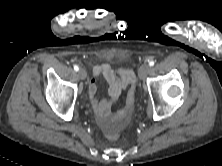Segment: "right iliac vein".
I'll return each instance as SVG.
<instances>
[{"instance_id": "1", "label": "right iliac vein", "mask_w": 222, "mask_h": 166, "mask_svg": "<svg viewBox=\"0 0 222 166\" xmlns=\"http://www.w3.org/2000/svg\"><path fill=\"white\" fill-rule=\"evenodd\" d=\"M78 76L80 77V79L85 80L87 77V73L84 69H80L78 71Z\"/></svg>"}]
</instances>
